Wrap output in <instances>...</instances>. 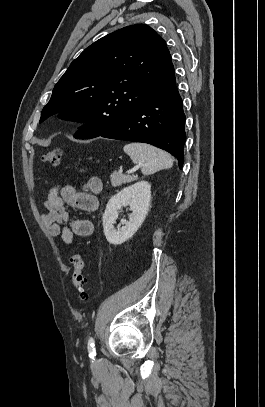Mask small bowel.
<instances>
[{"mask_svg": "<svg viewBox=\"0 0 265 407\" xmlns=\"http://www.w3.org/2000/svg\"><path fill=\"white\" fill-rule=\"evenodd\" d=\"M83 191H77L71 184H58L48 194L44 203L46 212L41 222L48 235L60 236L65 245H72L74 236L89 237L93 234V223L83 218H71L66 206L94 212L98 208L96 194L102 190V181L92 176L82 183Z\"/></svg>", "mask_w": 265, "mask_h": 407, "instance_id": "small-bowel-1", "label": "small bowel"}]
</instances>
